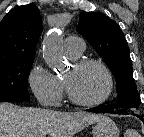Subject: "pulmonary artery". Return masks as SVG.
I'll return each instance as SVG.
<instances>
[{
	"label": "pulmonary artery",
	"mask_w": 144,
	"mask_h": 137,
	"mask_svg": "<svg viewBox=\"0 0 144 137\" xmlns=\"http://www.w3.org/2000/svg\"><path fill=\"white\" fill-rule=\"evenodd\" d=\"M64 46L68 55L77 57L83 52L84 42L78 37L69 36L65 39Z\"/></svg>",
	"instance_id": "obj_1"
}]
</instances>
